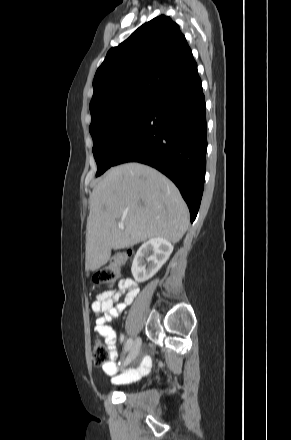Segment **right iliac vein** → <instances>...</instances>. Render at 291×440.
Instances as JSON below:
<instances>
[{"instance_id": "right-iliac-vein-1", "label": "right iliac vein", "mask_w": 291, "mask_h": 440, "mask_svg": "<svg viewBox=\"0 0 291 440\" xmlns=\"http://www.w3.org/2000/svg\"><path fill=\"white\" fill-rule=\"evenodd\" d=\"M140 347H141V339L138 337L135 339L134 343L132 344L129 355L126 361L124 362V365L131 363L136 358L140 350Z\"/></svg>"}]
</instances>
